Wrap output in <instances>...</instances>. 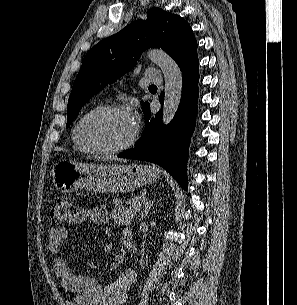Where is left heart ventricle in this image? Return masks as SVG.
<instances>
[{
    "instance_id": "1",
    "label": "left heart ventricle",
    "mask_w": 297,
    "mask_h": 305,
    "mask_svg": "<svg viewBox=\"0 0 297 305\" xmlns=\"http://www.w3.org/2000/svg\"><path fill=\"white\" fill-rule=\"evenodd\" d=\"M133 122L127 115L101 113L89 118L82 127L84 139L93 146L116 147L130 137Z\"/></svg>"
}]
</instances>
